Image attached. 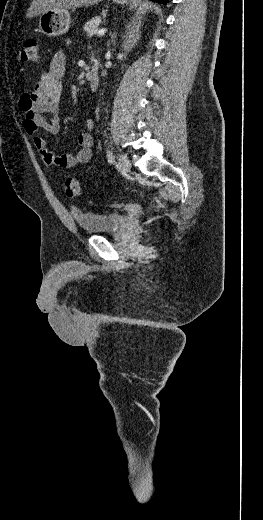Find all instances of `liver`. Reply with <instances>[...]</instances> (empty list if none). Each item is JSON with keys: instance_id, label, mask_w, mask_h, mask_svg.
Listing matches in <instances>:
<instances>
[{"instance_id": "liver-1", "label": "liver", "mask_w": 263, "mask_h": 520, "mask_svg": "<svg viewBox=\"0 0 263 520\" xmlns=\"http://www.w3.org/2000/svg\"><path fill=\"white\" fill-rule=\"evenodd\" d=\"M102 0H33L26 14L27 18L41 15L51 9H70L96 5Z\"/></svg>"}]
</instances>
